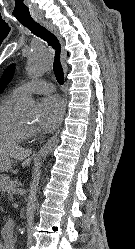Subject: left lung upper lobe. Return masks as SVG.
Listing matches in <instances>:
<instances>
[{
    "instance_id": "5c2ea615",
    "label": "left lung upper lobe",
    "mask_w": 135,
    "mask_h": 249,
    "mask_svg": "<svg viewBox=\"0 0 135 249\" xmlns=\"http://www.w3.org/2000/svg\"><path fill=\"white\" fill-rule=\"evenodd\" d=\"M14 73V64L8 66L0 79V93L4 90L5 86L10 82Z\"/></svg>"
}]
</instances>
